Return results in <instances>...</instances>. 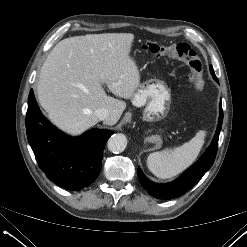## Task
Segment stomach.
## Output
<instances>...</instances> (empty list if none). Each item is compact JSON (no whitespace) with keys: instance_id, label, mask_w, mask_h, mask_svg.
Here are the masks:
<instances>
[{"instance_id":"obj_1","label":"stomach","mask_w":247,"mask_h":247,"mask_svg":"<svg viewBox=\"0 0 247 247\" xmlns=\"http://www.w3.org/2000/svg\"><path fill=\"white\" fill-rule=\"evenodd\" d=\"M132 103L137 107L145 106L143 118L146 121H159L169 113L171 90L164 81L149 79L139 85Z\"/></svg>"}]
</instances>
